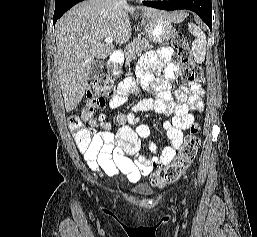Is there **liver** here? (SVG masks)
Here are the masks:
<instances>
[{
    "instance_id": "6515ba94",
    "label": "liver",
    "mask_w": 257,
    "mask_h": 237,
    "mask_svg": "<svg viewBox=\"0 0 257 237\" xmlns=\"http://www.w3.org/2000/svg\"><path fill=\"white\" fill-rule=\"evenodd\" d=\"M139 9L142 15H162L175 23L184 18L181 13L135 8L117 0H88L75 5L58 20L55 31L58 73L67 112L82 100L88 71L96 59H105L113 51L112 43L103 40L112 37L117 43L129 41L134 30L130 15L134 17Z\"/></svg>"
}]
</instances>
